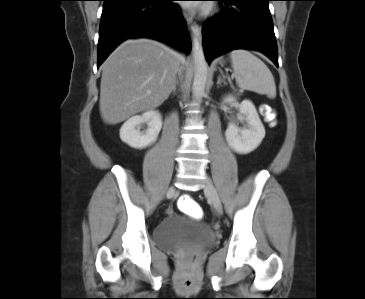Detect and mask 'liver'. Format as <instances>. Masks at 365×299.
Returning a JSON list of instances; mask_svg holds the SVG:
<instances>
[{"label": "liver", "mask_w": 365, "mask_h": 299, "mask_svg": "<svg viewBox=\"0 0 365 299\" xmlns=\"http://www.w3.org/2000/svg\"><path fill=\"white\" fill-rule=\"evenodd\" d=\"M181 56L151 39H130L102 65L99 109L104 122L118 124L157 108L170 95Z\"/></svg>", "instance_id": "6515ba94"}]
</instances>
